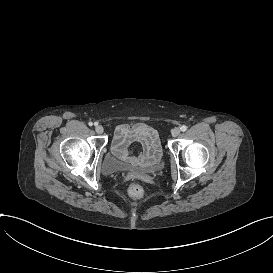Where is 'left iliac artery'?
<instances>
[{"mask_svg": "<svg viewBox=\"0 0 273 273\" xmlns=\"http://www.w3.org/2000/svg\"><path fill=\"white\" fill-rule=\"evenodd\" d=\"M180 129H181V131H186L187 130V126H185V125H182L181 127H180Z\"/></svg>", "mask_w": 273, "mask_h": 273, "instance_id": "1", "label": "left iliac artery"}]
</instances>
